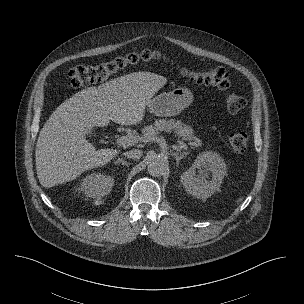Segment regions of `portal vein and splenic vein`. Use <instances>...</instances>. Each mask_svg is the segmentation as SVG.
Segmentation results:
<instances>
[{
	"instance_id": "18ae733b",
	"label": "portal vein and splenic vein",
	"mask_w": 304,
	"mask_h": 304,
	"mask_svg": "<svg viewBox=\"0 0 304 304\" xmlns=\"http://www.w3.org/2000/svg\"><path fill=\"white\" fill-rule=\"evenodd\" d=\"M139 140L145 141L147 139H145V138H137V137L131 136V135H126V136L119 137L116 140V143L119 146L125 147V146L134 145L135 143H138ZM177 143L179 145V148H181V149H187V145L183 141L177 140Z\"/></svg>"
}]
</instances>
